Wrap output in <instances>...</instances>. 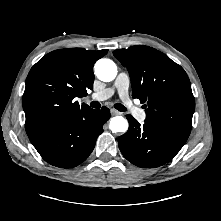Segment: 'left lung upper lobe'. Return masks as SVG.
Returning a JSON list of instances; mask_svg holds the SVG:
<instances>
[{
    "label": "left lung upper lobe",
    "mask_w": 221,
    "mask_h": 221,
    "mask_svg": "<svg viewBox=\"0 0 221 221\" xmlns=\"http://www.w3.org/2000/svg\"><path fill=\"white\" fill-rule=\"evenodd\" d=\"M113 54L128 69L132 97L146 103L145 120L189 137L195 99L184 69L148 46H132L115 50Z\"/></svg>",
    "instance_id": "1"
}]
</instances>
